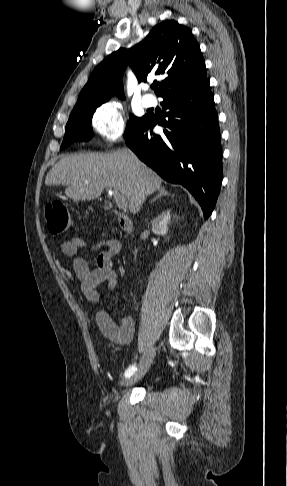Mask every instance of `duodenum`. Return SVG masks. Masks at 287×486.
Masks as SVG:
<instances>
[{"instance_id": "1", "label": "duodenum", "mask_w": 287, "mask_h": 486, "mask_svg": "<svg viewBox=\"0 0 287 486\" xmlns=\"http://www.w3.org/2000/svg\"><path fill=\"white\" fill-rule=\"evenodd\" d=\"M116 216L120 228L126 233H131L133 230V223L131 219L123 213H117Z\"/></svg>"}]
</instances>
